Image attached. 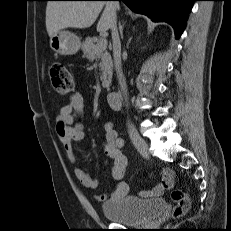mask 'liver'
<instances>
[{"mask_svg": "<svg viewBox=\"0 0 231 231\" xmlns=\"http://www.w3.org/2000/svg\"><path fill=\"white\" fill-rule=\"evenodd\" d=\"M105 6L97 31L106 32L111 28L116 10L113 2L103 1H49L46 7V29L53 37L62 29L88 28L97 19Z\"/></svg>", "mask_w": 231, "mask_h": 231, "instance_id": "1", "label": "liver"}]
</instances>
